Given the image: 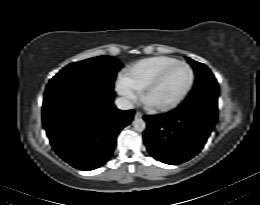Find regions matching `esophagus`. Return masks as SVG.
Returning a JSON list of instances; mask_svg holds the SVG:
<instances>
[{
	"mask_svg": "<svg viewBox=\"0 0 260 205\" xmlns=\"http://www.w3.org/2000/svg\"><path fill=\"white\" fill-rule=\"evenodd\" d=\"M142 116H143V114L140 111H136L134 117H135V119H137V118H142Z\"/></svg>",
	"mask_w": 260,
	"mask_h": 205,
	"instance_id": "obj_1",
	"label": "esophagus"
}]
</instances>
